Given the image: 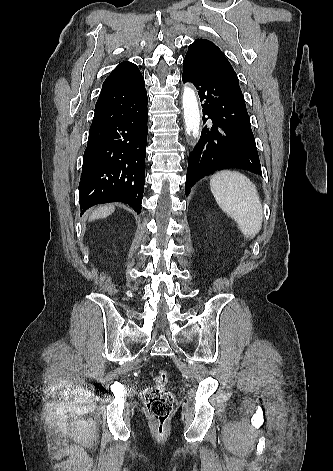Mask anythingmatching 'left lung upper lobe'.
<instances>
[{"label":"left lung upper lobe","instance_id":"1","mask_svg":"<svg viewBox=\"0 0 333 471\" xmlns=\"http://www.w3.org/2000/svg\"><path fill=\"white\" fill-rule=\"evenodd\" d=\"M186 55L196 56L207 61L226 79V81L244 101L243 94L239 86V80L234 69L223 52L213 42L207 39H196V41L188 47Z\"/></svg>","mask_w":333,"mask_h":471}]
</instances>
